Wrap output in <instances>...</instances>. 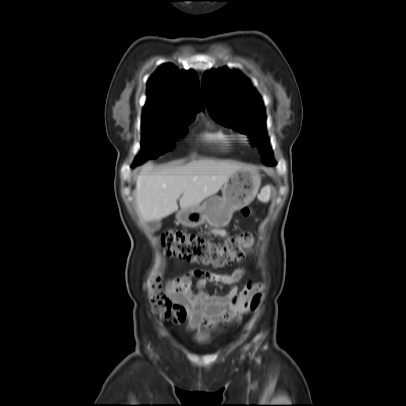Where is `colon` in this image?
<instances>
[{
    "mask_svg": "<svg viewBox=\"0 0 406 406\" xmlns=\"http://www.w3.org/2000/svg\"><path fill=\"white\" fill-rule=\"evenodd\" d=\"M242 214L247 217L252 216L253 210L244 207L242 208ZM160 242L169 258L207 266L223 267L244 260L250 253L253 237L249 233H241L229 237L222 244H215L196 234L167 231L161 234ZM149 290L152 295V302L159 310L163 311L169 307L158 277L151 279ZM259 301L260 297L254 296L251 301V309L255 310Z\"/></svg>",
    "mask_w": 406,
    "mask_h": 406,
    "instance_id": "1",
    "label": "colon"
}]
</instances>
